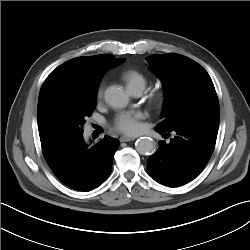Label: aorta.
Wrapping results in <instances>:
<instances>
[{
  "label": "aorta",
  "mask_w": 250,
  "mask_h": 250,
  "mask_svg": "<svg viewBox=\"0 0 250 250\" xmlns=\"http://www.w3.org/2000/svg\"><path fill=\"white\" fill-rule=\"evenodd\" d=\"M105 101L114 108H125L129 103V96L118 86H110L104 93ZM135 148L139 154L149 155L155 151V143L149 137H141L135 143Z\"/></svg>",
  "instance_id": "762f6f07"
}]
</instances>
